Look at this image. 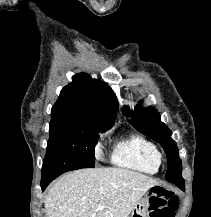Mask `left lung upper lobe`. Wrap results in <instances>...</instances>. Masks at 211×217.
Here are the masks:
<instances>
[{
	"label": "left lung upper lobe",
	"mask_w": 211,
	"mask_h": 217,
	"mask_svg": "<svg viewBox=\"0 0 211 217\" xmlns=\"http://www.w3.org/2000/svg\"><path fill=\"white\" fill-rule=\"evenodd\" d=\"M124 114L132 120L129 122L141 133L151 137L159 142L167 155L168 170L166 172V180L179 185H184L182 178V163L179 158L178 148L174 140L170 138L172 132L160 120V115L156 109L148 107L141 109L139 106L135 108V113H131L128 107L123 108Z\"/></svg>",
	"instance_id": "5c2ea615"
}]
</instances>
